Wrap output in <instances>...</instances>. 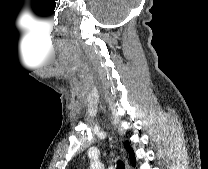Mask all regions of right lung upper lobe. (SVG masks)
Returning a JSON list of instances; mask_svg holds the SVG:
<instances>
[{"label": "right lung upper lobe", "instance_id": "right-lung-upper-lobe-1", "mask_svg": "<svg viewBox=\"0 0 208 169\" xmlns=\"http://www.w3.org/2000/svg\"><path fill=\"white\" fill-rule=\"evenodd\" d=\"M125 147H126V150L129 152L130 160L134 165L135 164V155H134V152H133L132 148L130 147L129 142H127L125 144Z\"/></svg>", "mask_w": 208, "mask_h": 169}]
</instances>
